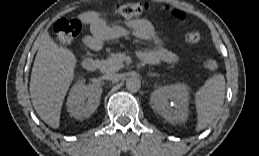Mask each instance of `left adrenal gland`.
Instances as JSON below:
<instances>
[{"instance_id": "left-adrenal-gland-1", "label": "left adrenal gland", "mask_w": 259, "mask_h": 156, "mask_svg": "<svg viewBox=\"0 0 259 156\" xmlns=\"http://www.w3.org/2000/svg\"><path fill=\"white\" fill-rule=\"evenodd\" d=\"M148 75L149 76H159V74H157V73H149Z\"/></svg>"}]
</instances>
